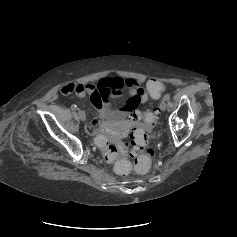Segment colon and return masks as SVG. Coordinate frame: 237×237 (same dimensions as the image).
<instances>
[{
  "mask_svg": "<svg viewBox=\"0 0 237 237\" xmlns=\"http://www.w3.org/2000/svg\"><path fill=\"white\" fill-rule=\"evenodd\" d=\"M165 88L166 85L160 80L152 79L147 83V90L153 98L160 97ZM157 118L156 110L134 112L131 115L130 149L121 140L106 133H101L96 138L104 159L114 165L118 174L126 176L132 172L145 173L149 169L155 151L148 146L147 130L156 126ZM128 157H132L133 165Z\"/></svg>",
  "mask_w": 237,
  "mask_h": 237,
  "instance_id": "colon-1",
  "label": "colon"
}]
</instances>
